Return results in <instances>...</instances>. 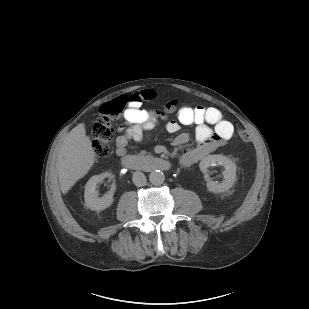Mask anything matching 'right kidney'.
<instances>
[{"mask_svg": "<svg viewBox=\"0 0 309 309\" xmlns=\"http://www.w3.org/2000/svg\"><path fill=\"white\" fill-rule=\"evenodd\" d=\"M110 173H103L100 175L92 176L85 186L84 199L86 206L94 211H101L111 206L113 203V194L115 191V185H112L111 190L108 194L103 197H98V192L96 191V185L102 181L105 177L110 176Z\"/></svg>", "mask_w": 309, "mask_h": 309, "instance_id": "right-kidney-1", "label": "right kidney"}]
</instances>
